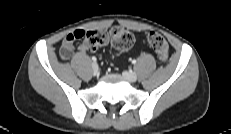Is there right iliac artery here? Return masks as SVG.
<instances>
[{"mask_svg":"<svg viewBox=\"0 0 231 134\" xmlns=\"http://www.w3.org/2000/svg\"><path fill=\"white\" fill-rule=\"evenodd\" d=\"M92 60H93L94 62H96L97 59H96V57H92Z\"/></svg>","mask_w":231,"mask_h":134,"instance_id":"right-iliac-artery-1","label":"right iliac artery"}]
</instances>
